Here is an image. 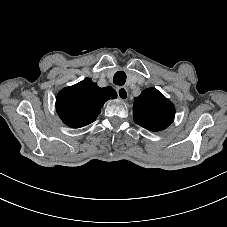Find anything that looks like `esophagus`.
I'll list each match as a JSON object with an SVG mask.
<instances>
[{
    "label": "esophagus",
    "instance_id": "esophagus-1",
    "mask_svg": "<svg viewBox=\"0 0 227 227\" xmlns=\"http://www.w3.org/2000/svg\"><path fill=\"white\" fill-rule=\"evenodd\" d=\"M116 92L120 100L126 101L128 99L129 93L126 87H117Z\"/></svg>",
    "mask_w": 227,
    "mask_h": 227
}]
</instances>
